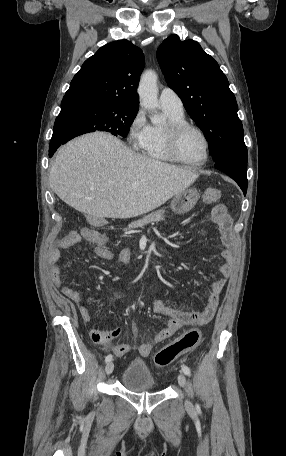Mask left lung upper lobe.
Here are the masks:
<instances>
[{"instance_id":"5c2ea615","label":"left lung upper lobe","mask_w":286,"mask_h":456,"mask_svg":"<svg viewBox=\"0 0 286 456\" xmlns=\"http://www.w3.org/2000/svg\"><path fill=\"white\" fill-rule=\"evenodd\" d=\"M157 59L168 86L204 132L214 161L247 158L236 98L215 59L198 42L175 34L159 46Z\"/></svg>"}]
</instances>
